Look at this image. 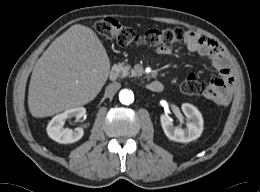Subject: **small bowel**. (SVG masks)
Returning a JSON list of instances; mask_svg holds the SVG:
<instances>
[{
	"label": "small bowel",
	"instance_id": "obj_1",
	"mask_svg": "<svg viewBox=\"0 0 260 192\" xmlns=\"http://www.w3.org/2000/svg\"><path fill=\"white\" fill-rule=\"evenodd\" d=\"M184 43L190 52L209 57L216 69V77L204 86L201 95L219 105H227L235 90L236 79L221 47L214 40L193 31L186 33ZM156 51L167 55L171 53V48L165 47Z\"/></svg>",
	"mask_w": 260,
	"mask_h": 192
}]
</instances>
